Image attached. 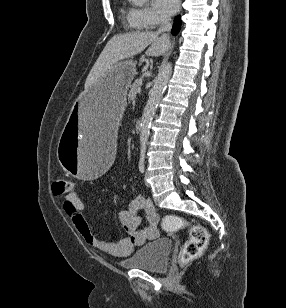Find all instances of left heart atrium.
<instances>
[{"label": "left heart atrium", "instance_id": "39dd6f15", "mask_svg": "<svg viewBox=\"0 0 286 308\" xmlns=\"http://www.w3.org/2000/svg\"><path fill=\"white\" fill-rule=\"evenodd\" d=\"M153 7L163 17L171 16L178 8V0H153Z\"/></svg>", "mask_w": 286, "mask_h": 308}]
</instances>
